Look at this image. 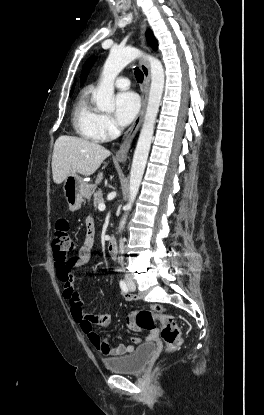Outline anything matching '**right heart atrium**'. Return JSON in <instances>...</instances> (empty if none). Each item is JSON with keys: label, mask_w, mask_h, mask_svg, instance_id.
<instances>
[{"label": "right heart atrium", "mask_w": 264, "mask_h": 415, "mask_svg": "<svg viewBox=\"0 0 264 415\" xmlns=\"http://www.w3.org/2000/svg\"><path fill=\"white\" fill-rule=\"evenodd\" d=\"M101 126L106 138L112 137L118 132V128L114 120L108 115H102Z\"/></svg>", "instance_id": "right-heart-atrium-1"}]
</instances>
